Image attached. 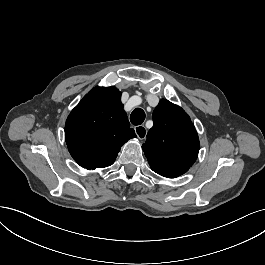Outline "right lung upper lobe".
<instances>
[{
    "mask_svg": "<svg viewBox=\"0 0 265 265\" xmlns=\"http://www.w3.org/2000/svg\"><path fill=\"white\" fill-rule=\"evenodd\" d=\"M120 98L121 92L113 86L95 87L68 116L66 143L81 167L90 170L112 165L121 146L137 137Z\"/></svg>",
    "mask_w": 265,
    "mask_h": 265,
    "instance_id": "right-lung-upper-lobe-1",
    "label": "right lung upper lobe"
}]
</instances>
